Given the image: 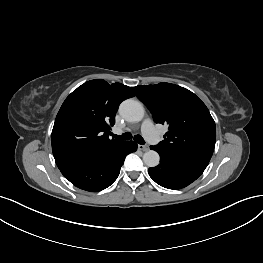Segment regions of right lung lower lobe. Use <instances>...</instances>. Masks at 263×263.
<instances>
[{"label":"right lung lower lobe","instance_id":"obj_1","mask_svg":"<svg viewBox=\"0 0 263 263\" xmlns=\"http://www.w3.org/2000/svg\"><path fill=\"white\" fill-rule=\"evenodd\" d=\"M137 150L134 141H124L98 156L60 170L76 187L97 192L109 187L119 176L125 157Z\"/></svg>","mask_w":263,"mask_h":263}]
</instances>
